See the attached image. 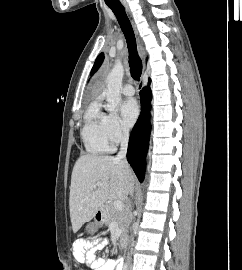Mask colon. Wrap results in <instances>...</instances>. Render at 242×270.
<instances>
[{
    "mask_svg": "<svg viewBox=\"0 0 242 270\" xmlns=\"http://www.w3.org/2000/svg\"><path fill=\"white\" fill-rule=\"evenodd\" d=\"M79 270H85V269L80 268Z\"/></svg>",
    "mask_w": 242,
    "mask_h": 270,
    "instance_id": "obj_1",
    "label": "colon"
}]
</instances>
